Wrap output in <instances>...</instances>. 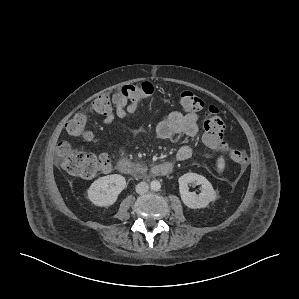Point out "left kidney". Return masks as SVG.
I'll use <instances>...</instances> for the list:
<instances>
[{"mask_svg":"<svg viewBox=\"0 0 299 299\" xmlns=\"http://www.w3.org/2000/svg\"><path fill=\"white\" fill-rule=\"evenodd\" d=\"M178 182L181 200L191 209L205 208L210 202L216 200L217 195L211 183L202 175L189 172L182 175L178 179ZM190 183H197L201 185L202 190L199 195L189 191L188 184Z\"/></svg>","mask_w":299,"mask_h":299,"instance_id":"5707ae66","label":"left kidney"}]
</instances>
